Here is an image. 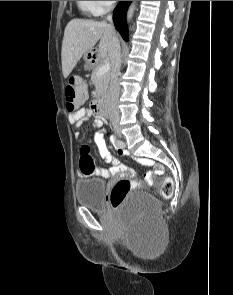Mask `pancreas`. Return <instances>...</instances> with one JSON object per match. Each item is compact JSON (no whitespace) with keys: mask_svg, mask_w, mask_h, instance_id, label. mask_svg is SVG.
Segmentation results:
<instances>
[{"mask_svg":"<svg viewBox=\"0 0 233 295\" xmlns=\"http://www.w3.org/2000/svg\"><path fill=\"white\" fill-rule=\"evenodd\" d=\"M102 63H98L94 66L91 74V80L96 88V93L101 94L103 90L108 87V83L110 80V72H106L103 75H98V69L101 67Z\"/></svg>","mask_w":233,"mask_h":295,"instance_id":"obj_1","label":"pancreas"}]
</instances>
